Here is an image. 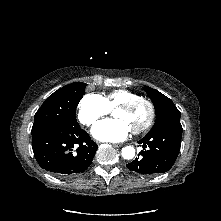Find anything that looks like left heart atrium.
Wrapping results in <instances>:
<instances>
[{
    "label": "left heart atrium",
    "mask_w": 221,
    "mask_h": 221,
    "mask_svg": "<svg viewBox=\"0 0 221 221\" xmlns=\"http://www.w3.org/2000/svg\"><path fill=\"white\" fill-rule=\"evenodd\" d=\"M131 129L120 119H107L97 123L92 129L94 138L105 142H120L125 140Z\"/></svg>",
    "instance_id": "39dd6f15"
}]
</instances>
